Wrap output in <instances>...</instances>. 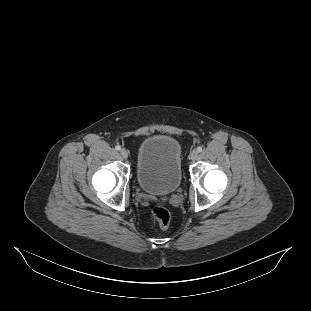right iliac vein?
<instances>
[{
  "mask_svg": "<svg viewBox=\"0 0 311 311\" xmlns=\"http://www.w3.org/2000/svg\"><path fill=\"white\" fill-rule=\"evenodd\" d=\"M120 154L123 158H127L129 155L128 151L125 148L120 150Z\"/></svg>",
  "mask_w": 311,
  "mask_h": 311,
  "instance_id": "right-iliac-vein-1",
  "label": "right iliac vein"
}]
</instances>
